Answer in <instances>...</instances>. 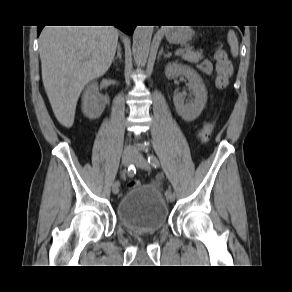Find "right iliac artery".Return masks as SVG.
<instances>
[{"label":"right iliac artery","instance_id":"obj_1","mask_svg":"<svg viewBox=\"0 0 292 292\" xmlns=\"http://www.w3.org/2000/svg\"><path fill=\"white\" fill-rule=\"evenodd\" d=\"M135 173H136L135 167L133 165H130L127 170L128 176L133 177ZM115 184H117V187H121V182H119L117 179L115 180Z\"/></svg>","mask_w":292,"mask_h":292}]
</instances>
